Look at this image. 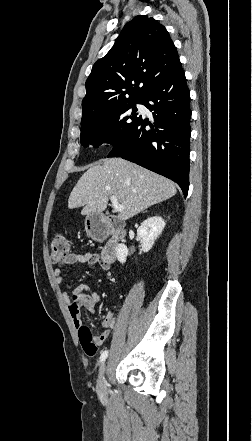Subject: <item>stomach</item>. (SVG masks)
<instances>
[{
    "mask_svg": "<svg viewBox=\"0 0 252 441\" xmlns=\"http://www.w3.org/2000/svg\"><path fill=\"white\" fill-rule=\"evenodd\" d=\"M91 226H92V217L87 216V218L85 220V229H86L87 233H89V234H91Z\"/></svg>",
    "mask_w": 252,
    "mask_h": 441,
    "instance_id": "1",
    "label": "stomach"
}]
</instances>
